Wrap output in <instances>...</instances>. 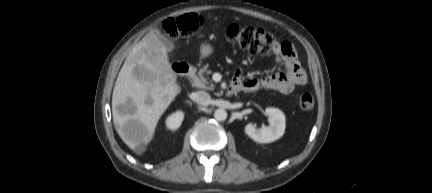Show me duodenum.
<instances>
[{"label":"duodenum","instance_id":"duodenum-1","mask_svg":"<svg viewBox=\"0 0 432 193\" xmlns=\"http://www.w3.org/2000/svg\"><path fill=\"white\" fill-rule=\"evenodd\" d=\"M173 70L174 72L182 77H188V76H192L194 74V69L193 66L190 63L187 62H177L173 65ZM242 87L240 84H232L227 93L229 95L233 94L236 91L241 90Z\"/></svg>","mask_w":432,"mask_h":193}]
</instances>
